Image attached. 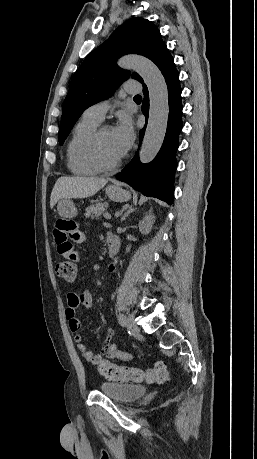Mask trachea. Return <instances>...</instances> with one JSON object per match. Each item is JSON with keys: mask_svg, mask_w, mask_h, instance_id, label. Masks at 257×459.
I'll list each match as a JSON object with an SVG mask.
<instances>
[{"mask_svg": "<svg viewBox=\"0 0 257 459\" xmlns=\"http://www.w3.org/2000/svg\"><path fill=\"white\" fill-rule=\"evenodd\" d=\"M135 98H141V96L140 95H136Z\"/></svg>", "mask_w": 257, "mask_h": 459, "instance_id": "1", "label": "trachea"}]
</instances>
